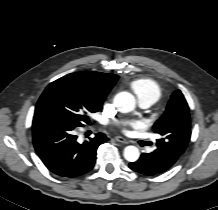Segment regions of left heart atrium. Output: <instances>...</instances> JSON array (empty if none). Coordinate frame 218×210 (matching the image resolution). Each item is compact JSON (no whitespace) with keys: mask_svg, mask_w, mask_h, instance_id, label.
I'll use <instances>...</instances> for the list:
<instances>
[{"mask_svg":"<svg viewBox=\"0 0 218 210\" xmlns=\"http://www.w3.org/2000/svg\"><path fill=\"white\" fill-rule=\"evenodd\" d=\"M126 126H130V127H132V128H135V129H141V128H143V124H142V122H140V121L128 122V123L126 124ZM124 130H125V129H124Z\"/></svg>","mask_w":218,"mask_h":210,"instance_id":"left-heart-atrium-1","label":"left heart atrium"}]
</instances>
